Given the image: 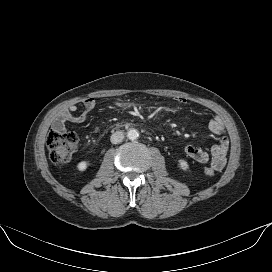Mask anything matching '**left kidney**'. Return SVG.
<instances>
[{
	"label": "left kidney",
	"mask_w": 272,
	"mask_h": 272,
	"mask_svg": "<svg viewBox=\"0 0 272 272\" xmlns=\"http://www.w3.org/2000/svg\"><path fill=\"white\" fill-rule=\"evenodd\" d=\"M179 165H180V168L182 169V170H187L188 169V163L185 161V160H179Z\"/></svg>",
	"instance_id": "obj_1"
}]
</instances>
